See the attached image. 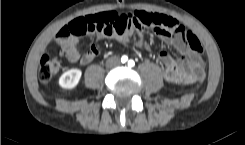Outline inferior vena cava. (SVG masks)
Returning a JSON list of instances; mask_svg holds the SVG:
<instances>
[{"label":"inferior vena cava","mask_w":245,"mask_h":145,"mask_svg":"<svg viewBox=\"0 0 245 145\" xmlns=\"http://www.w3.org/2000/svg\"><path fill=\"white\" fill-rule=\"evenodd\" d=\"M120 61L118 57H111L107 60L106 64L108 67H115L119 65Z\"/></svg>","instance_id":"obj_1"}]
</instances>
